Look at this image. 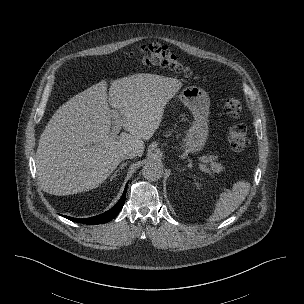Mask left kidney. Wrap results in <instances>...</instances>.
<instances>
[{
  "instance_id": "obj_1",
  "label": "left kidney",
  "mask_w": 304,
  "mask_h": 304,
  "mask_svg": "<svg viewBox=\"0 0 304 304\" xmlns=\"http://www.w3.org/2000/svg\"><path fill=\"white\" fill-rule=\"evenodd\" d=\"M195 185L197 186V188L201 186V184H199L198 182H196Z\"/></svg>"
}]
</instances>
